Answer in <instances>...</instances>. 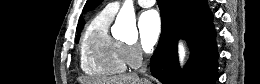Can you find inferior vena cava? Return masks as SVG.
Segmentation results:
<instances>
[{
    "label": "inferior vena cava",
    "mask_w": 260,
    "mask_h": 84,
    "mask_svg": "<svg viewBox=\"0 0 260 84\" xmlns=\"http://www.w3.org/2000/svg\"><path fill=\"white\" fill-rule=\"evenodd\" d=\"M147 67L146 64L144 63V65L141 67V69L139 70L140 73H146Z\"/></svg>",
    "instance_id": "obj_1"
}]
</instances>
